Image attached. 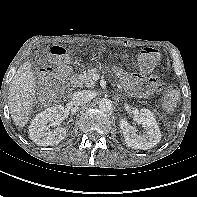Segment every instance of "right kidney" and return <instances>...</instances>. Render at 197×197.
<instances>
[{"label": "right kidney", "instance_id": "1", "mask_svg": "<svg viewBox=\"0 0 197 197\" xmlns=\"http://www.w3.org/2000/svg\"><path fill=\"white\" fill-rule=\"evenodd\" d=\"M64 107L61 105L47 108L37 114L29 126V135L33 142L40 146H52L58 144L66 137V129L58 127L50 131L48 123L62 120Z\"/></svg>", "mask_w": 197, "mask_h": 197}]
</instances>
